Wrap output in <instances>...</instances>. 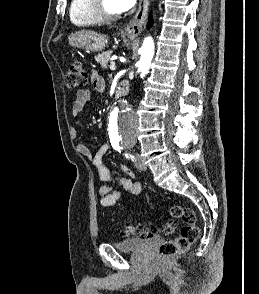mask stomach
Returning <instances> with one entry per match:
<instances>
[{
    "instance_id": "obj_1",
    "label": "stomach",
    "mask_w": 259,
    "mask_h": 294,
    "mask_svg": "<svg viewBox=\"0 0 259 294\" xmlns=\"http://www.w3.org/2000/svg\"><path fill=\"white\" fill-rule=\"evenodd\" d=\"M128 37L130 39L135 38V36L131 34H128ZM68 42L72 47L91 52L102 51L107 45L106 36L88 30L72 33L68 37Z\"/></svg>"
}]
</instances>
